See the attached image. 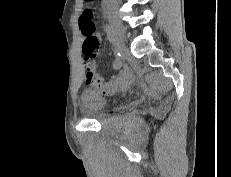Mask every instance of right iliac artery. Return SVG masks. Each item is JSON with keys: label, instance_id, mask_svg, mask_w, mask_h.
Wrapping results in <instances>:
<instances>
[{"label": "right iliac artery", "instance_id": "right-iliac-artery-1", "mask_svg": "<svg viewBox=\"0 0 231 177\" xmlns=\"http://www.w3.org/2000/svg\"><path fill=\"white\" fill-rule=\"evenodd\" d=\"M105 30H106V34H107L108 40H109L112 44H114V43H115V33H114L113 28L111 27L110 24H106Z\"/></svg>", "mask_w": 231, "mask_h": 177}]
</instances>
